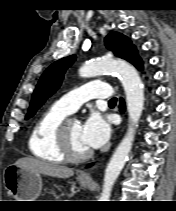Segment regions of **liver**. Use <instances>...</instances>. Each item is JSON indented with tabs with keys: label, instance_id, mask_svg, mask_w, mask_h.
<instances>
[{
	"label": "liver",
	"instance_id": "1",
	"mask_svg": "<svg viewBox=\"0 0 176 211\" xmlns=\"http://www.w3.org/2000/svg\"><path fill=\"white\" fill-rule=\"evenodd\" d=\"M14 165L28 171L38 172L40 174H45L57 178H69L74 175V171L71 168L31 157L20 158L15 162Z\"/></svg>",
	"mask_w": 176,
	"mask_h": 211
}]
</instances>
